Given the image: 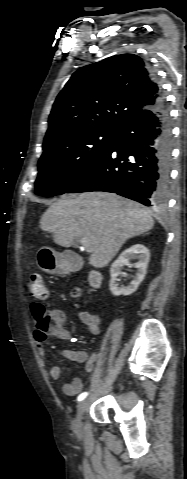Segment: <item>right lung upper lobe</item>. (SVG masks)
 <instances>
[{"instance_id":"right-lung-upper-lobe-1","label":"right lung upper lobe","mask_w":187,"mask_h":479,"mask_svg":"<svg viewBox=\"0 0 187 479\" xmlns=\"http://www.w3.org/2000/svg\"><path fill=\"white\" fill-rule=\"evenodd\" d=\"M161 96L147 64L137 55H116L85 66L57 96L44 145L86 129H120Z\"/></svg>"}]
</instances>
